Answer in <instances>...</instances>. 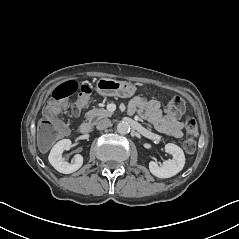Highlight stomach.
<instances>
[{
	"label": "stomach",
	"mask_w": 239,
	"mask_h": 239,
	"mask_svg": "<svg viewBox=\"0 0 239 239\" xmlns=\"http://www.w3.org/2000/svg\"><path fill=\"white\" fill-rule=\"evenodd\" d=\"M95 90L101 96L131 98L135 95L137 87L130 81L101 77L96 82Z\"/></svg>",
	"instance_id": "1"
}]
</instances>
